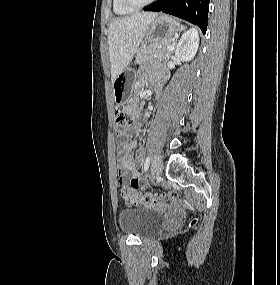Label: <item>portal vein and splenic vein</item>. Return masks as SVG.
<instances>
[{
	"label": "portal vein and splenic vein",
	"instance_id": "1",
	"mask_svg": "<svg viewBox=\"0 0 280 285\" xmlns=\"http://www.w3.org/2000/svg\"><path fill=\"white\" fill-rule=\"evenodd\" d=\"M167 49H168L169 51H172V50L174 49V47H173V45H169V46L167 47Z\"/></svg>",
	"mask_w": 280,
	"mask_h": 285
}]
</instances>
